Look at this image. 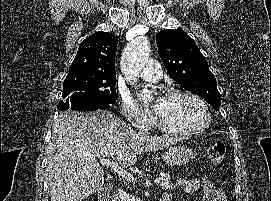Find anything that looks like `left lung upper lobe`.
<instances>
[{"label": "left lung upper lobe", "instance_id": "obj_1", "mask_svg": "<svg viewBox=\"0 0 271 201\" xmlns=\"http://www.w3.org/2000/svg\"><path fill=\"white\" fill-rule=\"evenodd\" d=\"M156 42L159 56L171 78L218 111L221 95L215 76L192 38L182 29H166L156 34Z\"/></svg>", "mask_w": 271, "mask_h": 201}]
</instances>
